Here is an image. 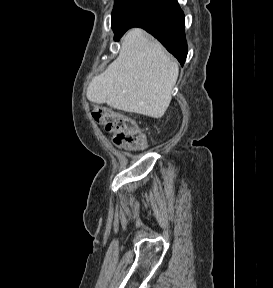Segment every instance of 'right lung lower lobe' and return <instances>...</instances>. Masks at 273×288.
I'll return each instance as SVG.
<instances>
[{
  "mask_svg": "<svg viewBox=\"0 0 273 288\" xmlns=\"http://www.w3.org/2000/svg\"><path fill=\"white\" fill-rule=\"evenodd\" d=\"M140 27L157 38L183 66L187 56L184 13L177 0H138L113 27L118 40L128 29Z\"/></svg>",
  "mask_w": 273,
  "mask_h": 288,
  "instance_id": "98d812e1",
  "label": "right lung lower lobe"
}]
</instances>
